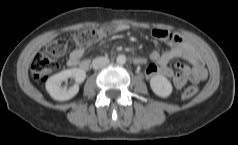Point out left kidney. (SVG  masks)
<instances>
[{
	"label": "left kidney",
	"instance_id": "left-kidney-1",
	"mask_svg": "<svg viewBox=\"0 0 238 145\" xmlns=\"http://www.w3.org/2000/svg\"><path fill=\"white\" fill-rule=\"evenodd\" d=\"M150 86L152 91L156 95L163 98L168 97L173 91V87L170 81L166 77L161 75H156L152 77L150 80Z\"/></svg>",
	"mask_w": 238,
	"mask_h": 145
}]
</instances>
